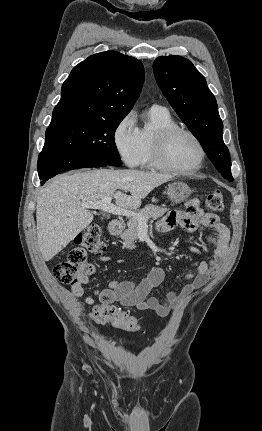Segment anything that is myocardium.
<instances>
[{
	"label": "myocardium",
	"instance_id": "1",
	"mask_svg": "<svg viewBox=\"0 0 262 431\" xmlns=\"http://www.w3.org/2000/svg\"><path fill=\"white\" fill-rule=\"evenodd\" d=\"M177 134L188 135L190 138L194 140V142L198 146V149L200 152L199 162L197 166H195L191 170H183L181 168H178L172 165L168 160V157H167L168 143L170 139ZM153 157H154V162L159 169L166 172L182 175V176H191L196 174L199 170L202 169L204 162L206 160V150L202 141L194 132L184 127L175 125L171 127L161 128L155 133L153 138Z\"/></svg>",
	"mask_w": 262,
	"mask_h": 431
}]
</instances>
